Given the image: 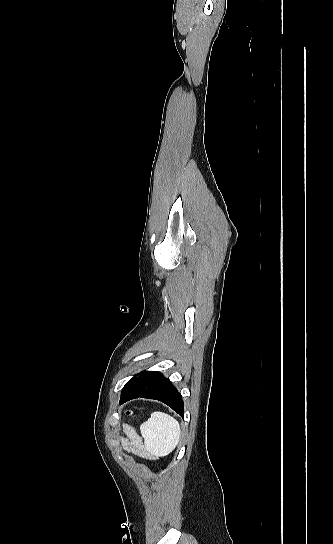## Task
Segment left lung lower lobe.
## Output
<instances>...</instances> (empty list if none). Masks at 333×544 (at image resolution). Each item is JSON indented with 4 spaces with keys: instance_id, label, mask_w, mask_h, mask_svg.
I'll list each match as a JSON object with an SVG mask.
<instances>
[{
    "instance_id": "obj_1",
    "label": "left lung lower lobe",
    "mask_w": 333,
    "mask_h": 544,
    "mask_svg": "<svg viewBox=\"0 0 333 544\" xmlns=\"http://www.w3.org/2000/svg\"><path fill=\"white\" fill-rule=\"evenodd\" d=\"M139 397L159 400L184 417V403L181 395L160 372L144 371L137 378H133L123 388L120 404Z\"/></svg>"
}]
</instances>
